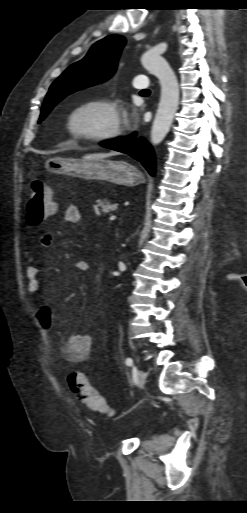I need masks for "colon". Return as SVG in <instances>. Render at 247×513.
I'll return each instance as SVG.
<instances>
[{
  "label": "colon",
  "mask_w": 247,
  "mask_h": 513,
  "mask_svg": "<svg viewBox=\"0 0 247 513\" xmlns=\"http://www.w3.org/2000/svg\"><path fill=\"white\" fill-rule=\"evenodd\" d=\"M57 211L51 188L44 180L36 179L31 183L26 202V219L29 225L37 226ZM68 384L80 401L90 409L111 416L113 411L106 399L89 383L82 372H72Z\"/></svg>",
  "instance_id": "colon-1"
}]
</instances>
